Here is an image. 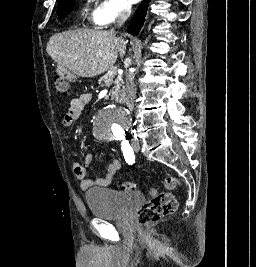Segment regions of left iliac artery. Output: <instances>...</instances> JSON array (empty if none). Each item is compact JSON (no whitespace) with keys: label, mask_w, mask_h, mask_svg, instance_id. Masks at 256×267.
Segmentation results:
<instances>
[{"label":"left iliac artery","mask_w":256,"mask_h":267,"mask_svg":"<svg viewBox=\"0 0 256 267\" xmlns=\"http://www.w3.org/2000/svg\"><path fill=\"white\" fill-rule=\"evenodd\" d=\"M121 145H122L121 149L123 151V155L126 162L132 165L135 162V156L132 147L126 140H124Z\"/></svg>","instance_id":"44dca946"}]
</instances>
